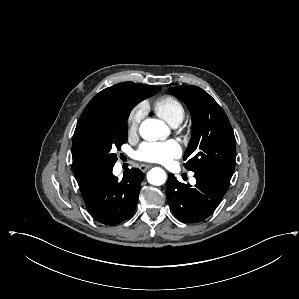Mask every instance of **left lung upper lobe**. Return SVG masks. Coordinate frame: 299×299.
<instances>
[{
	"mask_svg": "<svg viewBox=\"0 0 299 299\" xmlns=\"http://www.w3.org/2000/svg\"><path fill=\"white\" fill-rule=\"evenodd\" d=\"M192 115L193 130L185 152L187 170H208L231 179L235 168L236 141L231 124L218 103L197 86L169 88Z\"/></svg>",
	"mask_w": 299,
	"mask_h": 299,
	"instance_id": "5c2ea615",
	"label": "left lung upper lobe"
}]
</instances>
